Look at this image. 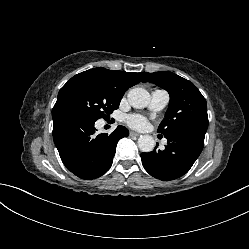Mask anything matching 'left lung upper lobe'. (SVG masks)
<instances>
[{"instance_id": "1", "label": "left lung upper lobe", "mask_w": 249, "mask_h": 249, "mask_svg": "<svg viewBox=\"0 0 249 249\" xmlns=\"http://www.w3.org/2000/svg\"><path fill=\"white\" fill-rule=\"evenodd\" d=\"M144 82L154 83L170 95L169 108L158 133L164 136L185 131L206 133V100L192 82L168 71L146 73Z\"/></svg>"}]
</instances>
